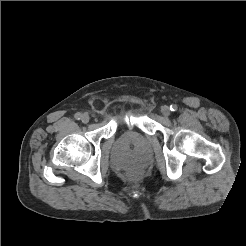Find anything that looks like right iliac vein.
Here are the masks:
<instances>
[{"instance_id":"1","label":"right iliac vein","mask_w":246,"mask_h":246,"mask_svg":"<svg viewBox=\"0 0 246 246\" xmlns=\"http://www.w3.org/2000/svg\"><path fill=\"white\" fill-rule=\"evenodd\" d=\"M89 120H90V116L88 115V114H83L82 115V117H81V121L83 122V123H88L89 122Z\"/></svg>"}]
</instances>
